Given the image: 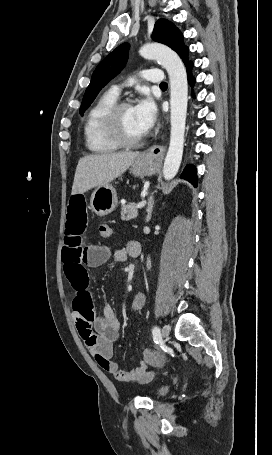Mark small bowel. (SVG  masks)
I'll use <instances>...</instances> for the list:
<instances>
[{
  "instance_id": "obj_1",
  "label": "small bowel",
  "mask_w": 272,
  "mask_h": 455,
  "mask_svg": "<svg viewBox=\"0 0 272 455\" xmlns=\"http://www.w3.org/2000/svg\"><path fill=\"white\" fill-rule=\"evenodd\" d=\"M87 224L86 204L83 196L76 195L68 204L62 259L65 276L73 292L72 317L76 329L85 346L96 362L105 371L122 382H145L152 373L141 361L132 370H122L113 360V343L121 330V322L115 309L106 304L102 315L95 316L93 301L89 290V269L97 267L111 257V267L116 262L124 261L128 256L140 254V244L135 240L128 241L121 249L114 252L107 246L85 245L84 232ZM146 296L138 292L132 299V309L140 311L145 305Z\"/></svg>"
}]
</instances>
